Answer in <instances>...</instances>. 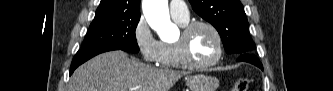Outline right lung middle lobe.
I'll return each mask as SVG.
<instances>
[{"label": "right lung middle lobe", "instance_id": "obj_1", "mask_svg": "<svg viewBox=\"0 0 333 91\" xmlns=\"http://www.w3.org/2000/svg\"><path fill=\"white\" fill-rule=\"evenodd\" d=\"M140 15H116L94 18L81 50L118 49L137 53L135 30Z\"/></svg>", "mask_w": 333, "mask_h": 91}]
</instances>
